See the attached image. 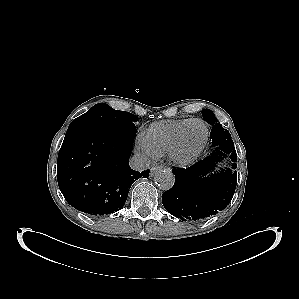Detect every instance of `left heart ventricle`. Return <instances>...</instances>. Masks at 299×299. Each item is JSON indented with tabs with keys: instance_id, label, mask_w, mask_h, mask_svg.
<instances>
[{
	"instance_id": "b2bd125f",
	"label": "left heart ventricle",
	"mask_w": 299,
	"mask_h": 299,
	"mask_svg": "<svg viewBox=\"0 0 299 299\" xmlns=\"http://www.w3.org/2000/svg\"><path fill=\"white\" fill-rule=\"evenodd\" d=\"M204 136L205 128L201 123L189 125L183 137L180 154L186 156L193 153L203 142Z\"/></svg>"
}]
</instances>
